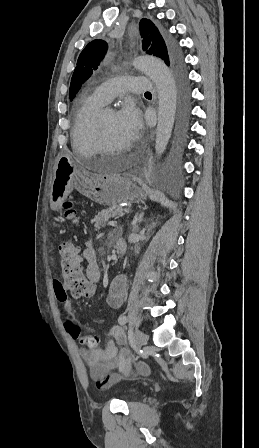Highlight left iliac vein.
Here are the masks:
<instances>
[{
    "mask_svg": "<svg viewBox=\"0 0 259 448\" xmlns=\"http://www.w3.org/2000/svg\"><path fill=\"white\" fill-rule=\"evenodd\" d=\"M147 342V336L140 330L134 335V343L137 350H140Z\"/></svg>",
    "mask_w": 259,
    "mask_h": 448,
    "instance_id": "4c4485c4",
    "label": "left iliac vein"
}]
</instances>
